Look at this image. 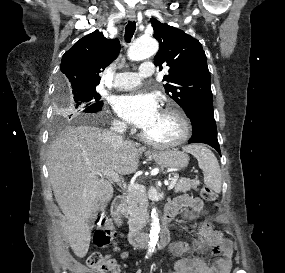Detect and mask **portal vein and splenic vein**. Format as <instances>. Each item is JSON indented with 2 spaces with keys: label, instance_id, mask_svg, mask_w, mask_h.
I'll use <instances>...</instances> for the list:
<instances>
[{
  "label": "portal vein and splenic vein",
  "instance_id": "obj_1",
  "mask_svg": "<svg viewBox=\"0 0 285 273\" xmlns=\"http://www.w3.org/2000/svg\"><path fill=\"white\" fill-rule=\"evenodd\" d=\"M96 175H100V176H107L109 177L112 181L119 183L121 181L120 176L118 173L114 172V171H101V172H96L94 173ZM178 180V177H175L171 183L168 186V190H172L176 184ZM129 190L131 189H143L145 190L143 185H135V186H129L128 187Z\"/></svg>",
  "mask_w": 285,
  "mask_h": 273
}]
</instances>
